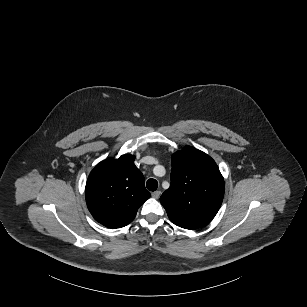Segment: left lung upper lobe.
<instances>
[{"mask_svg": "<svg viewBox=\"0 0 307 307\" xmlns=\"http://www.w3.org/2000/svg\"><path fill=\"white\" fill-rule=\"evenodd\" d=\"M223 196L224 179L209 155L191 146L172 155L171 185L160 202L175 225L191 230L207 225Z\"/></svg>", "mask_w": 307, "mask_h": 307, "instance_id": "5c2ea615", "label": "left lung upper lobe"}]
</instances>
